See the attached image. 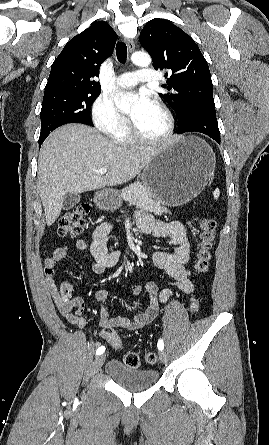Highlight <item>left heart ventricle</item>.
Wrapping results in <instances>:
<instances>
[{
	"label": "left heart ventricle",
	"instance_id": "obj_1",
	"mask_svg": "<svg viewBox=\"0 0 269 445\" xmlns=\"http://www.w3.org/2000/svg\"><path fill=\"white\" fill-rule=\"evenodd\" d=\"M129 115L141 134L146 137H158L167 127V120L163 112L153 103L147 110L138 113L136 104L129 111Z\"/></svg>",
	"mask_w": 269,
	"mask_h": 445
}]
</instances>
